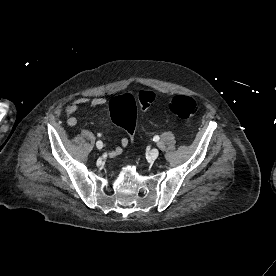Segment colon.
<instances>
[{
	"label": "colon",
	"mask_w": 276,
	"mask_h": 276,
	"mask_svg": "<svg viewBox=\"0 0 276 276\" xmlns=\"http://www.w3.org/2000/svg\"><path fill=\"white\" fill-rule=\"evenodd\" d=\"M154 100L155 95L151 91L139 92L137 99L129 93L113 97L109 102L111 119L127 132L132 141L135 133L138 109H148ZM197 108L196 101L185 95H176L169 103L170 111L184 120L192 119L197 112Z\"/></svg>",
	"instance_id": "5ec220e1"
}]
</instances>
